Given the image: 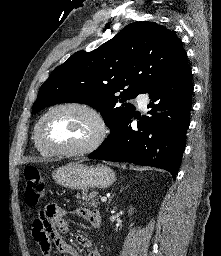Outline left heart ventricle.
Listing matches in <instances>:
<instances>
[{
	"label": "left heart ventricle",
	"instance_id": "b2bd125f",
	"mask_svg": "<svg viewBox=\"0 0 221 256\" xmlns=\"http://www.w3.org/2000/svg\"><path fill=\"white\" fill-rule=\"evenodd\" d=\"M96 123L86 112L76 108L60 109L42 126L44 142L57 148H77L87 144L96 134Z\"/></svg>",
	"mask_w": 221,
	"mask_h": 256
}]
</instances>
